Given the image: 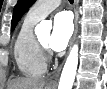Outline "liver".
Here are the masks:
<instances>
[{
    "instance_id": "obj_1",
    "label": "liver",
    "mask_w": 107,
    "mask_h": 89,
    "mask_svg": "<svg viewBox=\"0 0 107 89\" xmlns=\"http://www.w3.org/2000/svg\"><path fill=\"white\" fill-rule=\"evenodd\" d=\"M45 82L43 80L21 77L14 79L8 86V89H43Z\"/></svg>"
}]
</instances>
